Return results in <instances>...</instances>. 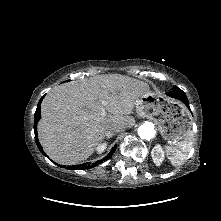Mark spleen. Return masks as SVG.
<instances>
[{
  "label": "spleen",
  "instance_id": "3e777b00",
  "mask_svg": "<svg viewBox=\"0 0 221 221\" xmlns=\"http://www.w3.org/2000/svg\"><path fill=\"white\" fill-rule=\"evenodd\" d=\"M192 138L193 133L190 131L183 140L176 142L174 145L165 146L167 158L172 165L178 166L187 159L192 149Z\"/></svg>",
  "mask_w": 221,
  "mask_h": 221
}]
</instances>
